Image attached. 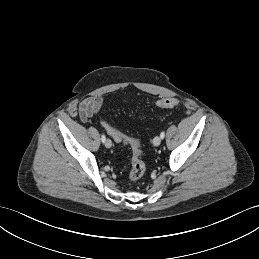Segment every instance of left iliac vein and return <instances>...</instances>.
<instances>
[{
  "instance_id": "4c4485c4",
  "label": "left iliac vein",
  "mask_w": 259,
  "mask_h": 259,
  "mask_svg": "<svg viewBox=\"0 0 259 259\" xmlns=\"http://www.w3.org/2000/svg\"><path fill=\"white\" fill-rule=\"evenodd\" d=\"M161 137L160 136H156L154 139H153V145L154 146H159L161 144Z\"/></svg>"
}]
</instances>
